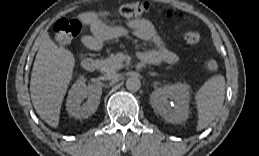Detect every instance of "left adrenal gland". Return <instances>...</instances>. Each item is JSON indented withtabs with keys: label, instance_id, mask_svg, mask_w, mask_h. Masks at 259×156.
<instances>
[{
	"label": "left adrenal gland",
	"instance_id": "obj_1",
	"mask_svg": "<svg viewBox=\"0 0 259 156\" xmlns=\"http://www.w3.org/2000/svg\"><path fill=\"white\" fill-rule=\"evenodd\" d=\"M149 75H151V76H156L157 73H149Z\"/></svg>",
	"mask_w": 259,
	"mask_h": 156
}]
</instances>
